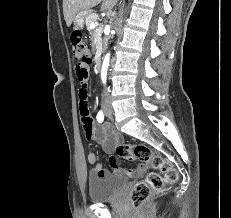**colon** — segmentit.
I'll return each instance as SVG.
<instances>
[{"instance_id":"5ec220e1","label":"colon","mask_w":231,"mask_h":218,"mask_svg":"<svg viewBox=\"0 0 231 218\" xmlns=\"http://www.w3.org/2000/svg\"><path fill=\"white\" fill-rule=\"evenodd\" d=\"M72 54L76 60H89L90 50L80 31H73L70 36ZM117 154L126 160H139L152 167L155 172H150L138 181L130 195L133 206H140L151 194L160 191L164 186L177 182L178 172L162 156L143 144H120L116 148Z\"/></svg>"}]
</instances>
